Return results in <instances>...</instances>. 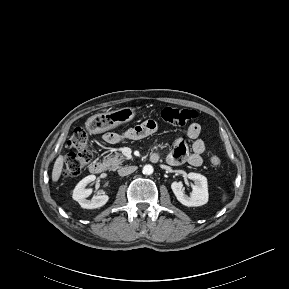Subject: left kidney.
Returning <instances> with one entry per match:
<instances>
[{"mask_svg": "<svg viewBox=\"0 0 289 289\" xmlns=\"http://www.w3.org/2000/svg\"><path fill=\"white\" fill-rule=\"evenodd\" d=\"M187 177L194 181L190 196L185 195L181 181H175L171 184V189L177 200L187 207H197L206 204L209 197L206 177L198 173H189Z\"/></svg>", "mask_w": 289, "mask_h": 289, "instance_id": "obj_1", "label": "left kidney"}]
</instances>
